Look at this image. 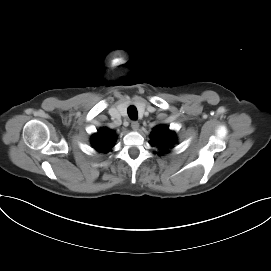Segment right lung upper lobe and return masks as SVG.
<instances>
[{"label": "right lung upper lobe", "mask_w": 271, "mask_h": 271, "mask_svg": "<svg viewBox=\"0 0 271 271\" xmlns=\"http://www.w3.org/2000/svg\"><path fill=\"white\" fill-rule=\"evenodd\" d=\"M117 135L108 128H101L98 133L91 138L93 147L99 152H108L114 146Z\"/></svg>", "instance_id": "right-lung-upper-lobe-1"}]
</instances>
